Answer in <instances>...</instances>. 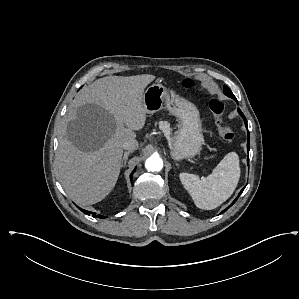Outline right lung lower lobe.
Returning a JSON list of instances; mask_svg holds the SVG:
<instances>
[{"mask_svg": "<svg viewBox=\"0 0 299 299\" xmlns=\"http://www.w3.org/2000/svg\"><path fill=\"white\" fill-rule=\"evenodd\" d=\"M82 210V209H81ZM84 211V210H83ZM86 214H92L93 217H97V218H105L104 216H101V215H96V213H93V212H88L86 211Z\"/></svg>", "mask_w": 299, "mask_h": 299, "instance_id": "1", "label": "right lung lower lobe"}]
</instances>
